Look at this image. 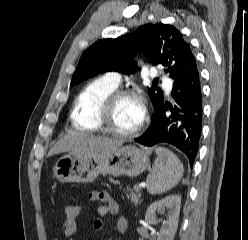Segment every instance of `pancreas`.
<instances>
[{"label":"pancreas","mask_w":248,"mask_h":240,"mask_svg":"<svg viewBox=\"0 0 248 240\" xmlns=\"http://www.w3.org/2000/svg\"><path fill=\"white\" fill-rule=\"evenodd\" d=\"M110 182L119 184L118 181H114L113 179H109ZM134 191L127 188V191H129V195L127 194V197H130V200L132 203H134L135 205L138 204V201L140 199L141 193H140V187H137L136 185L133 187Z\"/></svg>","instance_id":"pancreas-1"}]
</instances>
